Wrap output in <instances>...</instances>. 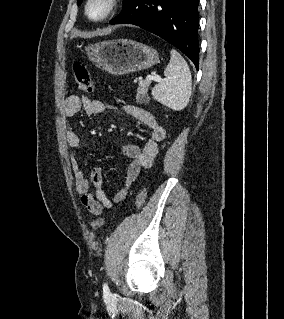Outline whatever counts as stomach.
<instances>
[{"label": "stomach", "mask_w": 284, "mask_h": 319, "mask_svg": "<svg viewBox=\"0 0 284 319\" xmlns=\"http://www.w3.org/2000/svg\"><path fill=\"white\" fill-rule=\"evenodd\" d=\"M89 59L113 75H125L148 69L158 63V52L130 39H114L91 44L87 47Z\"/></svg>", "instance_id": "1"}]
</instances>
